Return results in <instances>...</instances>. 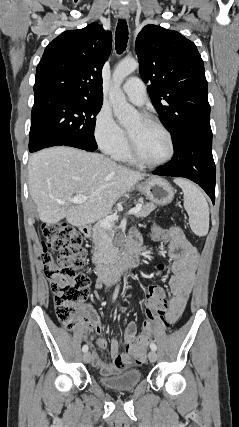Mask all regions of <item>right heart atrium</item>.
Returning <instances> with one entry per match:
<instances>
[{"mask_svg": "<svg viewBox=\"0 0 239 427\" xmlns=\"http://www.w3.org/2000/svg\"><path fill=\"white\" fill-rule=\"evenodd\" d=\"M93 133L98 147L110 156L115 155L127 143L124 130L108 108H102L96 115Z\"/></svg>", "mask_w": 239, "mask_h": 427, "instance_id": "d8ad5b80", "label": "right heart atrium"}]
</instances>
